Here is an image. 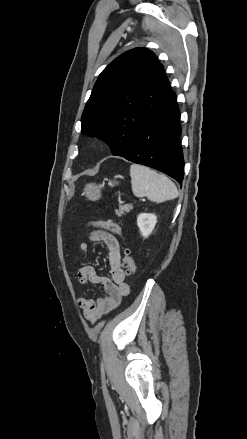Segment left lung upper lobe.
Listing matches in <instances>:
<instances>
[{"mask_svg":"<svg viewBox=\"0 0 247 439\" xmlns=\"http://www.w3.org/2000/svg\"><path fill=\"white\" fill-rule=\"evenodd\" d=\"M173 93L162 64L146 48L129 50L99 75L81 118V132L105 141L113 155L131 147L141 123Z\"/></svg>","mask_w":247,"mask_h":439,"instance_id":"1","label":"left lung upper lobe"}]
</instances>
